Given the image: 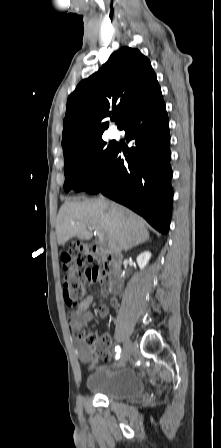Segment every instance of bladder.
<instances>
[{"instance_id": "obj_1", "label": "bladder", "mask_w": 221, "mask_h": 448, "mask_svg": "<svg viewBox=\"0 0 221 448\" xmlns=\"http://www.w3.org/2000/svg\"><path fill=\"white\" fill-rule=\"evenodd\" d=\"M87 388L110 400H131L146 392L140 375L132 369L103 370L86 378Z\"/></svg>"}]
</instances>
